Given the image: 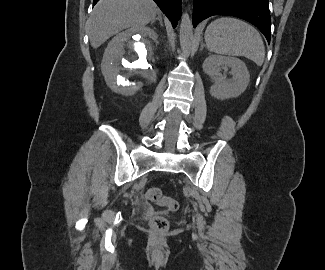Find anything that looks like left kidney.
Listing matches in <instances>:
<instances>
[{"label":"left kidney","mask_w":325,"mask_h":270,"mask_svg":"<svg viewBox=\"0 0 325 270\" xmlns=\"http://www.w3.org/2000/svg\"><path fill=\"white\" fill-rule=\"evenodd\" d=\"M221 68H231V80L220 74ZM203 70L213 77L214 84L210 88V94L219 100L238 97L246 90L250 81L245 63L235 57L210 55L203 62Z\"/></svg>","instance_id":"left-kidney-1"}]
</instances>
